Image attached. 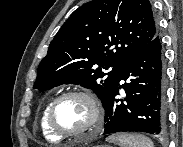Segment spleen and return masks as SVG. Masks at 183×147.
Here are the masks:
<instances>
[{
  "label": "spleen",
  "mask_w": 183,
  "mask_h": 147,
  "mask_svg": "<svg viewBox=\"0 0 183 147\" xmlns=\"http://www.w3.org/2000/svg\"><path fill=\"white\" fill-rule=\"evenodd\" d=\"M107 141L120 147H154L153 142L142 134L118 133L109 136Z\"/></svg>",
  "instance_id": "3e777b00"
}]
</instances>
